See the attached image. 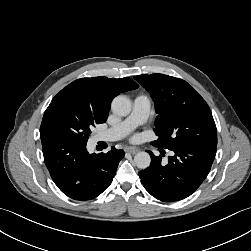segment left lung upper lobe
<instances>
[{
  "label": "left lung upper lobe",
  "mask_w": 251,
  "mask_h": 251,
  "mask_svg": "<svg viewBox=\"0 0 251 251\" xmlns=\"http://www.w3.org/2000/svg\"><path fill=\"white\" fill-rule=\"evenodd\" d=\"M134 79L155 103L156 146L170 150L183 145L217 146V129L210 108L186 81L164 74L140 75Z\"/></svg>",
  "instance_id": "obj_1"
}]
</instances>
